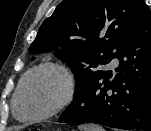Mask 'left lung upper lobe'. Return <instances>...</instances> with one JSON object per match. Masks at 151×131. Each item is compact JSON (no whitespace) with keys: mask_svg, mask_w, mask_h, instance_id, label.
Masks as SVG:
<instances>
[{"mask_svg":"<svg viewBox=\"0 0 151 131\" xmlns=\"http://www.w3.org/2000/svg\"><path fill=\"white\" fill-rule=\"evenodd\" d=\"M143 0H64L41 25L29 52H55L75 75L74 98L120 58Z\"/></svg>","mask_w":151,"mask_h":131,"instance_id":"5c2ea615","label":"left lung upper lobe"}]
</instances>
